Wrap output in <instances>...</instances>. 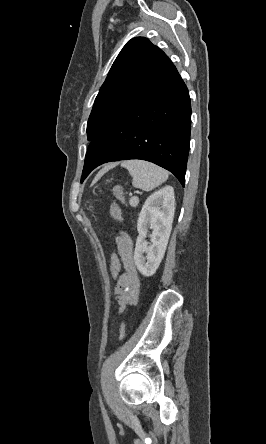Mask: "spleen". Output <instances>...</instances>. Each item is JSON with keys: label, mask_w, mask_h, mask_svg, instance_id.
I'll return each mask as SVG.
<instances>
[{"label": "spleen", "mask_w": 266, "mask_h": 444, "mask_svg": "<svg viewBox=\"0 0 266 444\" xmlns=\"http://www.w3.org/2000/svg\"><path fill=\"white\" fill-rule=\"evenodd\" d=\"M121 167L129 171L133 186L144 191H151L168 179L166 170L143 160L124 161Z\"/></svg>", "instance_id": "1"}]
</instances>
